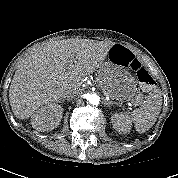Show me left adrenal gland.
<instances>
[{"label":"left adrenal gland","mask_w":178,"mask_h":178,"mask_svg":"<svg viewBox=\"0 0 178 178\" xmlns=\"http://www.w3.org/2000/svg\"><path fill=\"white\" fill-rule=\"evenodd\" d=\"M113 104H116V105H117V103H115V102L106 101V105H107V106H110V105H113Z\"/></svg>","instance_id":"1"}]
</instances>
